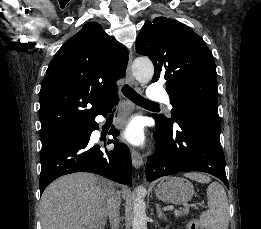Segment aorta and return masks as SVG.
Wrapping results in <instances>:
<instances>
[{
    "label": "aorta",
    "mask_w": 261,
    "mask_h": 229,
    "mask_svg": "<svg viewBox=\"0 0 261 229\" xmlns=\"http://www.w3.org/2000/svg\"><path fill=\"white\" fill-rule=\"evenodd\" d=\"M132 72L139 82H150L154 74L153 62L146 56H138L132 62ZM147 191L144 187H137L135 201L133 203L132 229H147L146 203L144 195Z\"/></svg>",
    "instance_id": "obj_1"
}]
</instances>
